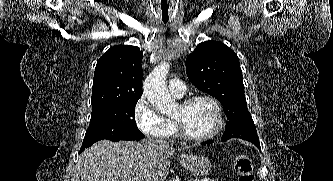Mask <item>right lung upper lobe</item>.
<instances>
[{
  "instance_id": "obj_1",
  "label": "right lung upper lobe",
  "mask_w": 333,
  "mask_h": 181,
  "mask_svg": "<svg viewBox=\"0 0 333 181\" xmlns=\"http://www.w3.org/2000/svg\"><path fill=\"white\" fill-rule=\"evenodd\" d=\"M142 56L138 47L119 45L100 57L94 72L92 108L141 97Z\"/></svg>"
}]
</instances>
